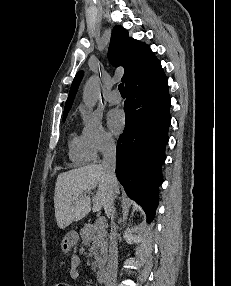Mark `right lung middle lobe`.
Returning a JSON list of instances; mask_svg holds the SVG:
<instances>
[{
  "instance_id": "1",
  "label": "right lung middle lobe",
  "mask_w": 231,
  "mask_h": 286,
  "mask_svg": "<svg viewBox=\"0 0 231 286\" xmlns=\"http://www.w3.org/2000/svg\"><path fill=\"white\" fill-rule=\"evenodd\" d=\"M67 115H63V121H65Z\"/></svg>"
}]
</instances>
